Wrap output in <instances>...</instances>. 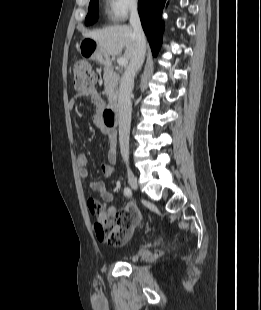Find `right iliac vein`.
Returning <instances> with one entry per match:
<instances>
[{
	"instance_id": "obj_1",
	"label": "right iliac vein",
	"mask_w": 261,
	"mask_h": 310,
	"mask_svg": "<svg viewBox=\"0 0 261 310\" xmlns=\"http://www.w3.org/2000/svg\"><path fill=\"white\" fill-rule=\"evenodd\" d=\"M127 177H128V182H129L131 188L134 190H137L138 189V183H137V179L134 176V174L131 171H128Z\"/></svg>"
}]
</instances>
